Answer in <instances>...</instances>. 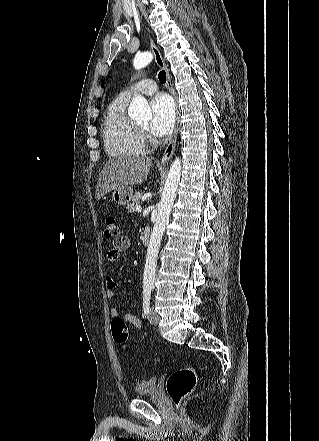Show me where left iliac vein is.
Here are the masks:
<instances>
[{"label":"left iliac vein","mask_w":319,"mask_h":441,"mask_svg":"<svg viewBox=\"0 0 319 441\" xmlns=\"http://www.w3.org/2000/svg\"><path fill=\"white\" fill-rule=\"evenodd\" d=\"M150 321L154 325H157L160 322V316L154 309L150 310Z\"/></svg>","instance_id":"left-iliac-vein-1"}]
</instances>
